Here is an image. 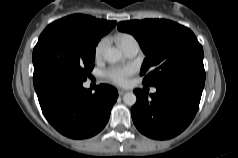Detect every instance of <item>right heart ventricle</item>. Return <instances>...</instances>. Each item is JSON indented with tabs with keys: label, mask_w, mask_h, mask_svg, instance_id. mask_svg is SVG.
Returning <instances> with one entry per match:
<instances>
[{
	"label": "right heart ventricle",
	"mask_w": 238,
	"mask_h": 158,
	"mask_svg": "<svg viewBox=\"0 0 238 158\" xmlns=\"http://www.w3.org/2000/svg\"><path fill=\"white\" fill-rule=\"evenodd\" d=\"M119 44L123 47L133 37L129 34H121L117 37Z\"/></svg>",
	"instance_id": "e07e8e85"
}]
</instances>
